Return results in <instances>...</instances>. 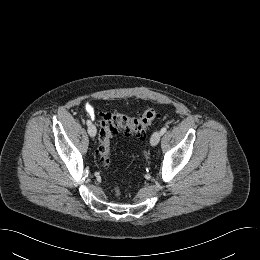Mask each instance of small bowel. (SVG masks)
I'll use <instances>...</instances> for the list:
<instances>
[{"label":"small bowel","mask_w":260,"mask_h":260,"mask_svg":"<svg viewBox=\"0 0 260 260\" xmlns=\"http://www.w3.org/2000/svg\"><path fill=\"white\" fill-rule=\"evenodd\" d=\"M85 111H86V113H87L89 116H91L92 118L95 117V109H94V107H93L90 103H87V104L85 105Z\"/></svg>","instance_id":"obj_1"}]
</instances>
